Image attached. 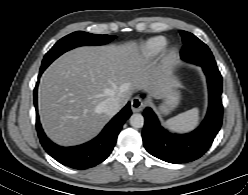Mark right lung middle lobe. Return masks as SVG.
Instances as JSON below:
<instances>
[{
  "instance_id": "1",
  "label": "right lung middle lobe",
  "mask_w": 248,
  "mask_h": 195,
  "mask_svg": "<svg viewBox=\"0 0 248 195\" xmlns=\"http://www.w3.org/2000/svg\"><path fill=\"white\" fill-rule=\"evenodd\" d=\"M116 36L113 35H96L83 31L73 32L60 39L44 56L42 66L47 68L57 57L66 51L75 47L95 44L102 45L112 41Z\"/></svg>"
}]
</instances>
